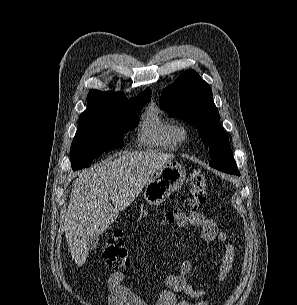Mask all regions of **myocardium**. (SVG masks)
<instances>
[{
    "label": "myocardium",
    "instance_id": "obj_1",
    "mask_svg": "<svg viewBox=\"0 0 297 305\" xmlns=\"http://www.w3.org/2000/svg\"><path fill=\"white\" fill-rule=\"evenodd\" d=\"M176 136L179 142L184 141L188 137V130L183 125L176 126Z\"/></svg>",
    "mask_w": 297,
    "mask_h": 305
}]
</instances>
